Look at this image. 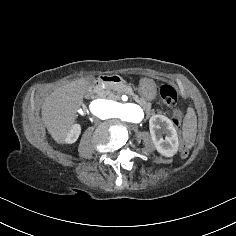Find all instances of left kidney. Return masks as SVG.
Listing matches in <instances>:
<instances>
[{
    "label": "left kidney",
    "mask_w": 236,
    "mask_h": 236,
    "mask_svg": "<svg viewBox=\"0 0 236 236\" xmlns=\"http://www.w3.org/2000/svg\"><path fill=\"white\" fill-rule=\"evenodd\" d=\"M149 130L156 151L163 157L171 158L178 153L179 141L173 123L163 115H153ZM165 134V138H162Z\"/></svg>",
    "instance_id": "obj_1"
}]
</instances>
